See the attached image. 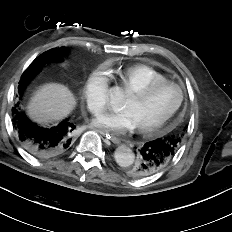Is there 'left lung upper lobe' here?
<instances>
[{"label": "left lung upper lobe", "mask_w": 232, "mask_h": 232, "mask_svg": "<svg viewBox=\"0 0 232 232\" xmlns=\"http://www.w3.org/2000/svg\"><path fill=\"white\" fill-rule=\"evenodd\" d=\"M181 138H182L181 134H170L161 139L167 142L168 144H170L173 147V149L177 151L181 144ZM132 167L133 166L126 168V173L131 177H133V175L130 173L131 172L130 170Z\"/></svg>", "instance_id": "left-lung-upper-lobe-1"}]
</instances>
